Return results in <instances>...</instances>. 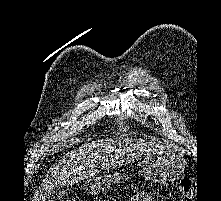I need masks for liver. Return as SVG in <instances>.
<instances>
[{
	"label": "liver",
	"mask_w": 221,
	"mask_h": 201,
	"mask_svg": "<svg viewBox=\"0 0 221 201\" xmlns=\"http://www.w3.org/2000/svg\"><path fill=\"white\" fill-rule=\"evenodd\" d=\"M163 147L143 140L110 138L95 140L68 152L52 166L37 192L38 201H46L51 192L60 187L92 178L99 174L96 163L104 170L127 166Z\"/></svg>",
	"instance_id": "1"
}]
</instances>
